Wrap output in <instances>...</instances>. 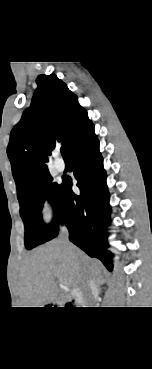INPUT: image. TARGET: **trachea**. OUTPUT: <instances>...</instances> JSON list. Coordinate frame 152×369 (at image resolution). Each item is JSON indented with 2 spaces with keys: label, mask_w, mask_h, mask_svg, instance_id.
Instances as JSON below:
<instances>
[{
  "label": "trachea",
  "mask_w": 152,
  "mask_h": 369,
  "mask_svg": "<svg viewBox=\"0 0 152 369\" xmlns=\"http://www.w3.org/2000/svg\"><path fill=\"white\" fill-rule=\"evenodd\" d=\"M61 154L63 156V158H68L67 154H66V150L64 147L61 148Z\"/></svg>",
  "instance_id": "1"
}]
</instances>
